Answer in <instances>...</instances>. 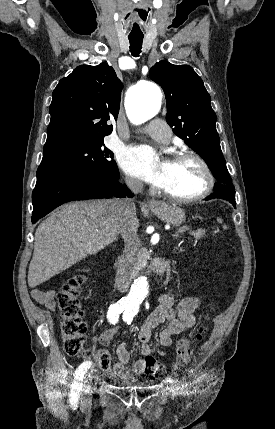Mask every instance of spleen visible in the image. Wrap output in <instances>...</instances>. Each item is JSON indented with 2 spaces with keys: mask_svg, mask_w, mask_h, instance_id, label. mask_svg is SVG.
<instances>
[{
  "mask_svg": "<svg viewBox=\"0 0 275 429\" xmlns=\"http://www.w3.org/2000/svg\"><path fill=\"white\" fill-rule=\"evenodd\" d=\"M217 221H218L219 223H222V220H221V219H219V218L217 219ZM223 228H224V229H227V226H226V225H224V226H223Z\"/></svg>",
  "mask_w": 275,
  "mask_h": 429,
  "instance_id": "3e777b00",
  "label": "spleen"
}]
</instances>
